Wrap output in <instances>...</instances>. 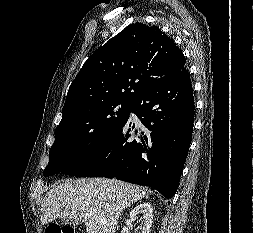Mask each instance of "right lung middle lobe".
Returning a JSON list of instances; mask_svg holds the SVG:
<instances>
[{
    "mask_svg": "<svg viewBox=\"0 0 253 233\" xmlns=\"http://www.w3.org/2000/svg\"><path fill=\"white\" fill-rule=\"evenodd\" d=\"M132 104L130 100L110 99L62 117L43 175L62 172L102 147L128 118Z\"/></svg>",
    "mask_w": 253,
    "mask_h": 233,
    "instance_id": "1",
    "label": "right lung middle lobe"
}]
</instances>
